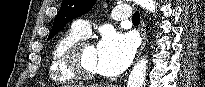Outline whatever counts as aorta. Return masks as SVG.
I'll list each match as a JSON object with an SVG mask.
<instances>
[{
	"instance_id": "1",
	"label": "aorta",
	"mask_w": 205,
	"mask_h": 87,
	"mask_svg": "<svg viewBox=\"0 0 205 87\" xmlns=\"http://www.w3.org/2000/svg\"><path fill=\"white\" fill-rule=\"evenodd\" d=\"M136 2L147 11L151 13L156 12V2L155 0H136ZM147 70V60L143 57L139 60L133 69L128 78L127 87H143L144 80L146 77Z\"/></svg>"
}]
</instances>
